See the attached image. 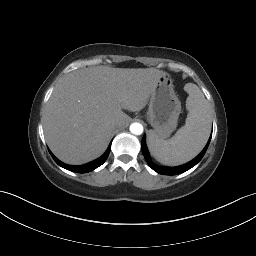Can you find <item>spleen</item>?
I'll return each mask as SVG.
<instances>
[{"label": "spleen", "instance_id": "spleen-1", "mask_svg": "<svg viewBox=\"0 0 256 256\" xmlns=\"http://www.w3.org/2000/svg\"><path fill=\"white\" fill-rule=\"evenodd\" d=\"M189 97L186 100V123L170 140H162L151 131L148 148L152 156L168 166L184 164L193 159L205 146L211 129L208 101L197 85H185Z\"/></svg>", "mask_w": 256, "mask_h": 256}]
</instances>
